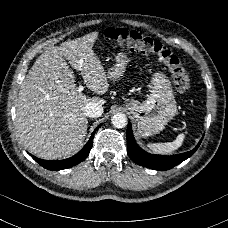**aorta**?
<instances>
[{"label":"aorta","instance_id":"obj_1","mask_svg":"<svg viewBox=\"0 0 228 228\" xmlns=\"http://www.w3.org/2000/svg\"><path fill=\"white\" fill-rule=\"evenodd\" d=\"M111 122L115 128L122 129L127 126L128 119L124 113H116L112 116Z\"/></svg>","mask_w":228,"mask_h":228}]
</instances>
